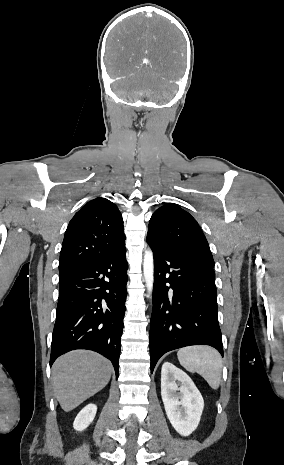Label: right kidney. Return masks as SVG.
Returning <instances> with one entry per match:
<instances>
[{
	"instance_id": "1",
	"label": "right kidney",
	"mask_w": 284,
	"mask_h": 465,
	"mask_svg": "<svg viewBox=\"0 0 284 465\" xmlns=\"http://www.w3.org/2000/svg\"><path fill=\"white\" fill-rule=\"evenodd\" d=\"M96 411V405H92V403H90V405H86V407H84V409L78 413L73 423L75 431H84V429H87L90 423H92L96 415Z\"/></svg>"
}]
</instances>
